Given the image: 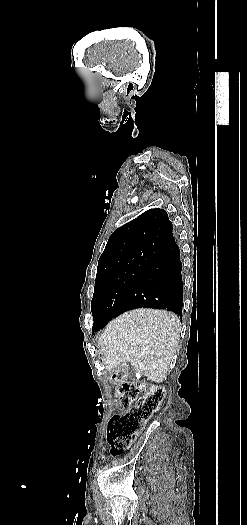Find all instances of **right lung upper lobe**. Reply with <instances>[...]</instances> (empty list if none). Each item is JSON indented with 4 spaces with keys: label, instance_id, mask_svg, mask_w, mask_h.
Wrapping results in <instances>:
<instances>
[{
    "label": "right lung upper lobe",
    "instance_id": "right-lung-upper-lobe-1",
    "mask_svg": "<svg viewBox=\"0 0 247 525\" xmlns=\"http://www.w3.org/2000/svg\"><path fill=\"white\" fill-rule=\"evenodd\" d=\"M173 237V226L165 210L149 209L116 229L99 258L97 272L125 269L152 256Z\"/></svg>",
    "mask_w": 247,
    "mask_h": 525
}]
</instances>
